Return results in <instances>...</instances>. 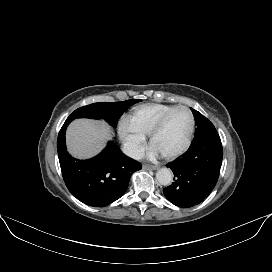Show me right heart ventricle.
Here are the masks:
<instances>
[{
  "mask_svg": "<svg viewBox=\"0 0 272 272\" xmlns=\"http://www.w3.org/2000/svg\"><path fill=\"white\" fill-rule=\"evenodd\" d=\"M173 105L152 103L136 107L127 116L128 126L135 132L147 136L158 121Z\"/></svg>",
  "mask_w": 272,
  "mask_h": 272,
  "instance_id": "obj_1",
  "label": "right heart ventricle"
}]
</instances>
